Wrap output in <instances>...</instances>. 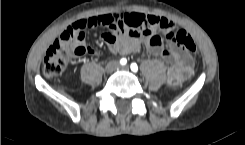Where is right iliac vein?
<instances>
[{
	"label": "right iliac vein",
	"instance_id": "obj_1",
	"mask_svg": "<svg viewBox=\"0 0 245 145\" xmlns=\"http://www.w3.org/2000/svg\"><path fill=\"white\" fill-rule=\"evenodd\" d=\"M116 67H117V63L115 61H110L106 65L105 69L107 72H113L116 69Z\"/></svg>",
	"mask_w": 245,
	"mask_h": 145
}]
</instances>
